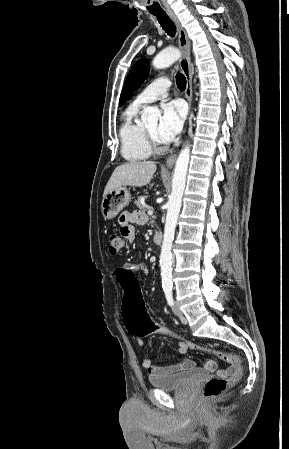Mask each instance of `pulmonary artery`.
Segmentation results:
<instances>
[{
    "label": "pulmonary artery",
    "instance_id": "e3ab8cb5",
    "mask_svg": "<svg viewBox=\"0 0 289 449\" xmlns=\"http://www.w3.org/2000/svg\"><path fill=\"white\" fill-rule=\"evenodd\" d=\"M170 85L171 82L165 77L154 80L139 95H137L133 104L141 107L165 97Z\"/></svg>",
    "mask_w": 289,
    "mask_h": 449
}]
</instances>
